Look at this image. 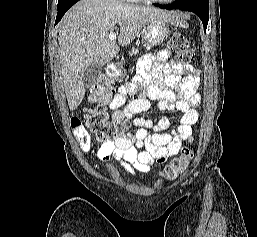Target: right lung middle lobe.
<instances>
[{
	"mask_svg": "<svg viewBox=\"0 0 257 237\" xmlns=\"http://www.w3.org/2000/svg\"><path fill=\"white\" fill-rule=\"evenodd\" d=\"M72 0H59L58 1V7L62 6V5H65L69 2H71Z\"/></svg>",
	"mask_w": 257,
	"mask_h": 237,
	"instance_id": "dd1d6c3e",
	"label": "right lung middle lobe"
}]
</instances>
